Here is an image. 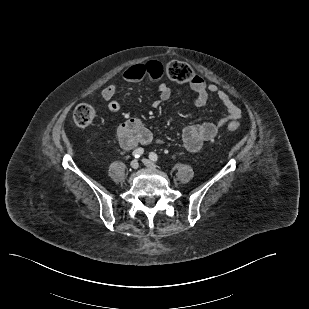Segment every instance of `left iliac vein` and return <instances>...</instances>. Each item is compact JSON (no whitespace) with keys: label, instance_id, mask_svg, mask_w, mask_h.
Wrapping results in <instances>:
<instances>
[{"label":"left iliac vein","instance_id":"4c4485c4","mask_svg":"<svg viewBox=\"0 0 309 309\" xmlns=\"http://www.w3.org/2000/svg\"><path fill=\"white\" fill-rule=\"evenodd\" d=\"M142 162H143L144 165L147 166L148 168H150V169H156V165H155L152 161H150V160H148V159H143Z\"/></svg>","mask_w":309,"mask_h":309}]
</instances>
